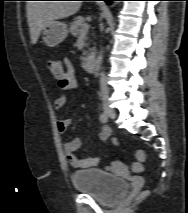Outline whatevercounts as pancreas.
I'll list each match as a JSON object with an SVG mask.
<instances>
[{
    "label": "pancreas",
    "instance_id": "1",
    "mask_svg": "<svg viewBox=\"0 0 188 213\" xmlns=\"http://www.w3.org/2000/svg\"><path fill=\"white\" fill-rule=\"evenodd\" d=\"M84 24H87L84 20L83 17L79 16L76 17L69 25V31L73 36H78L81 33V28ZM87 54L86 51L83 52V56L81 57V59L83 61H86L87 58L85 57V55Z\"/></svg>",
    "mask_w": 188,
    "mask_h": 213
}]
</instances>
